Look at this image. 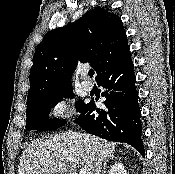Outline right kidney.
Returning <instances> with one entry per match:
<instances>
[{
    "label": "right kidney",
    "mask_w": 175,
    "mask_h": 174,
    "mask_svg": "<svg viewBox=\"0 0 175 174\" xmlns=\"http://www.w3.org/2000/svg\"><path fill=\"white\" fill-rule=\"evenodd\" d=\"M109 174H127L124 165L121 162L115 163L110 171Z\"/></svg>",
    "instance_id": "1"
}]
</instances>
